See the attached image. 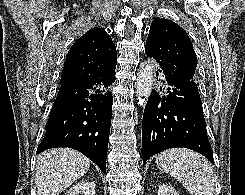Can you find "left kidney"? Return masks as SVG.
Masks as SVG:
<instances>
[{"label":"left kidney","instance_id":"obj_1","mask_svg":"<svg viewBox=\"0 0 245 195\" xmlns=\"http://www.w3.org/2000/svg\"><path fill=\"white\" fill-rule=\"evenodd\" d=\"M158 195H179V194L172 186L162 184L159 186Z\"/></svg>","mask_w":245,"mask_h":195}]
</instances>
